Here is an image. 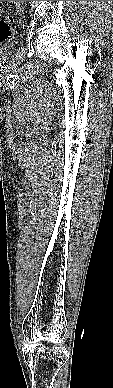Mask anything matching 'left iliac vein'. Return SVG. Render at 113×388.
Wrapping results in <instances>:
<instances>
[{
    "label": "left iliac vein",
    "mask_w": 113,
    "mask_h": 388,
    "mask_svg": "<svg viewBox=\"0 0 113 388\" xmlns=\"http://www.w3.org/2000/svg\"><path fill=\"white\" fill-rule=\"evenodd\" d=\"M15 3H16V8H17L18 14L20 16H23L24 12H25L24 1H15Z\"/></svg>",
    "instance_id": "obj_1"
}]
</instances>
